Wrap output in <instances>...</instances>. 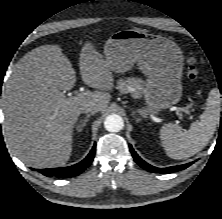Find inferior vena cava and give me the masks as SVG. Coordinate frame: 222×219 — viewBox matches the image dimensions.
<instances>
[{
	"label": "inferior vena cava",
	"instance_id": "obj_1",
	"mask_svg": "<svg viewBox=\"0 0 222 219\" xmlns=\"http://www.w3.org/2000/svg\"><path fill=\"white\" fill-rule=\"evenodd\" d=\"M98 111H100V105L96 103H90L82 109V112L84 113H88V112L96 113Z\"/></svg>",
	"mask_w": 222,
	"mask_h": 219
}]
</instances>
